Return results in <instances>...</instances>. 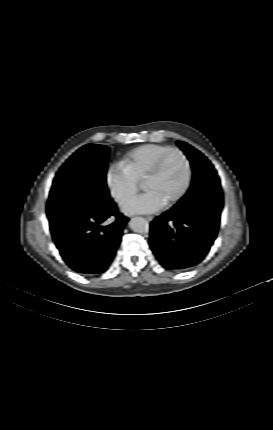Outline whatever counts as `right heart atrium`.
<instances>
[{
	"label": "right heart atrium",
	"instance_id": "1",
	"mask_svg": "<svg viewBox=\"0 0 273 430\" xmlns=\"http://www.w3.org/2000/svg\"><path fill=\"white\" fill-rule=\"evenodd\" d=\"M105 181L111 196L119 205L131 199L140 187V182L122 163H113L108 167Z\"/></svg>",
	"mask_w": 273,
	"mask_h": 430
}]
</instances>
